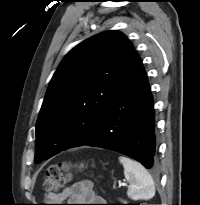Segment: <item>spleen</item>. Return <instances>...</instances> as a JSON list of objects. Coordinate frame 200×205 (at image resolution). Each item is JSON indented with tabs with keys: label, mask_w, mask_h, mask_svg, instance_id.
I'll return each instance as SVG.
<instances>
[{
	"label": "spleen",
	"mask_w": 200,
	"mask_h": 205,
	"mask_svg": "<svg viewBox=\"0 0 200 205\" xmlns=\"http://www.w3.org/2000/svg\"><path fill=\"white\" fill-rule=\"evenodd\" d=\"M124 167V176L129 182L127 195L133 200H148L155 195V184L149 172L137 161L119 157Z\"/></svg>",
	"instance_id": "spleen-1"
}]
</instances>
